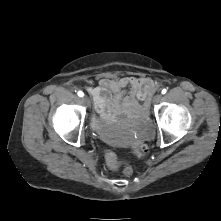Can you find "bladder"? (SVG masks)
<instances>
[{
  "label": "bladder",
  "instance_id": "bladder-1",
  "mask_svg": "<svg viewBox=\"0 0 221 221\" xmlns=\"http://www.w3.org/2000/svg\"><path fill=\"white\" fill-rule=\"evenodd\" d=\"M91 127L94 130H99L103 134H105L107 141L116 147L123 146L125 141L109 131V121L101 120L96 116H93L91 119Z\"/></svg>",
  "mask_w": 221,
  "mask_h": 221
}]
</instances>
